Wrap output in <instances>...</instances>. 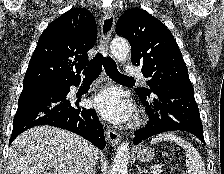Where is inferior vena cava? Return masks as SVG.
Here are the masks:
<instances>
[{
	"instance_id": "obj_1",
	"label": "inferior vena cava",
	"mask_w": 224,
	"mask_h": 174,
	"mask_svg": "<svg viewBox=\"0 0 224 174\" xmlns=\"http://www.w3.org/2000/svg\"><path fill=\"white\" fill-rule=\"evenodd\" d=\"M96 153L94 147L87 145L79 159L76 174H96Z\"/></svg>"
}]
</instances>
